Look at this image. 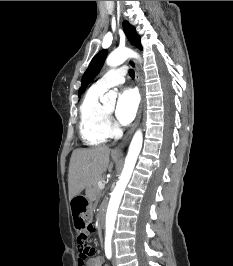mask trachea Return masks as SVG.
Listing matches in <instances>:
<instances>
[{
    "label": "trachea",
    "instance_id": "3493384b",
    "mask_svg": "<svg viewBox=\"0 0 233 266\" xmlns=\"http://www.w3.org/2000/svg\"><path fill=\"white\" fill-rule=\"evenodd\" d=\"M129 75H130L131 78H134L135 77V72H134L133 69H130L129 70Z\"/></svg>",
    "mask_w": 233,
    "mask_h": 266
}]
</instances>
